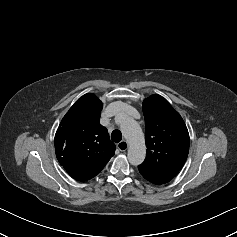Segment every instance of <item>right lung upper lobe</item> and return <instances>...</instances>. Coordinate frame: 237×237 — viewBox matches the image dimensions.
<instances>
[{"label":"right lung upper lobe","instance_id":"1","mask_svg":"<svg viewBox=\"0 0 237 237\" xmlns=\"http://www.w3.org/2000/svg\"><path fill=\"white\" fill-rule=\"evenodd\" d=\"M103 103L92 93L78 99L55 134L56 156L78 181L95 177L115 153L107 129L100 124Z\"/></svg>","mask_w":237,"mask_h":237}]
</instances>
